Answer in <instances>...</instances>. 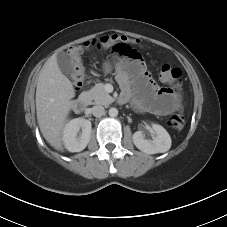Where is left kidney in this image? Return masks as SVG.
I'll list each match as a JSON object with an SVG mask.
<instances>
[{
	"label": "left kidney",
	"instance_id": "1",
	"mask_svg": "<svg viewBox=\"0 0 227 227\" xmlns=\"http://www.w3.org/2000/svg\"><path fill=\"white\" fill-rule=\"evenodd\" d=\"M156 136L153 140L144 138L142 131L133 134L134 145L144 153L156 154L164 153L171 147V137L169 133L159 124H152Z\"/></svg>",
	"mask_w": 227,
	"mask_h": 227
}]
</instances>
